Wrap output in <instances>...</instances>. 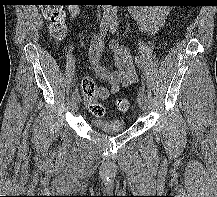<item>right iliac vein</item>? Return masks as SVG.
Segmentation results:
<instances>
[{"mask_svg": "<svg viewBox=\"0 0 217 197\" xmlns=\"http://www.w3.org/2000/svg\"><path fill=\"white\" fill-rule=\"evenodd\" d=\"M78 109V99L72 101V111L76 112Z\"/></svg>", "mask_w": 217, "mask_h": 197, "instance_id": "1", "label": "right iliac vein"}]
</instances>
